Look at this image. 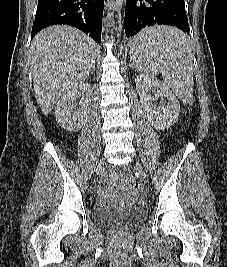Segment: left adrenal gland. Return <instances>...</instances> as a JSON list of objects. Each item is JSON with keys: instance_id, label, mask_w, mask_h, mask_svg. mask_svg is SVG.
<instances>
[{"instance_id": "obj_1", "label": "left adrenal gland", "mask_w": 227, "mask_h": 267, "mask_svg": "<svg viewBox=\"0 0 227 267\" xmlns=\"http://www.w3.org/2000/svg\"><path fill=\"white\" fill-rule=\"evenodd\" d=\"M130 67H132V68H136V66L134 65V63H131V64H130Z\"/></svg>"}]
</instances>
